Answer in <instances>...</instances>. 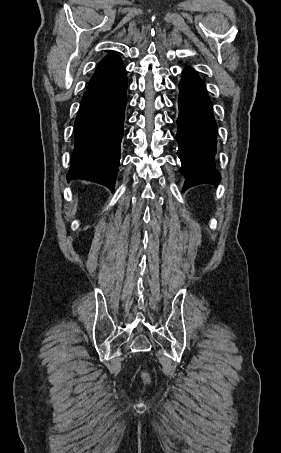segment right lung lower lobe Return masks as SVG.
I'll return each instance as SVG.
<instances>
[{"instance_id":"obj_1","label":"right lung lower lobe","mask_w":281,"mask_h":453,"mask_svg":"<svg viewBox=\"0 0 281 453\" xmlns=\"http://www.w3.org/2000/svg\"><path fill=\"white\" fill-rule=\"evenodd\" d=\"M127 77L117 54L102 59L75 120V149L67 179L102 184L114 191L125 119Z\"/></svg>"}]
</instances>
